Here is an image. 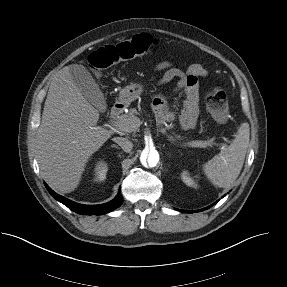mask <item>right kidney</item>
Segmentation results:
<instances>
[{"mask_svg":"<svg viewBox=\"0 0 287 287\" xmlns=\"http://www.w3.org/2000/svg\"><path fill=\"white\" fill-rule=\"evenodd\" d=\"M107 170H108L107 163L103 160L98 161L94 168V180L103 181L106 178Z\"/></svg>","mask_w":287,"mask_h":287,"instance_id":"obj_1","label":"right kidney"}]
</instances>
